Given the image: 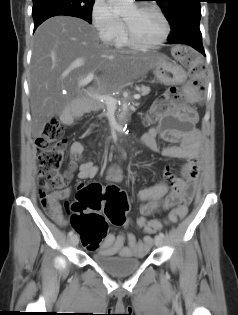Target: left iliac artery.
<instances>
[{"instance_id": "1", "label": "left iliac artery", "mask_w": 238, "mask_h": 315, "mask_svg": "<svg viewBox=\"0 0 238 315\" xmlns=\"http://www.w3.org/2000/svg\"><path fill=\"white\" fill-rule=\"evenodd\" d=\"M159 236H160L161 238H164V234H163L162 232L159 233Z\"/></svg>"}]
</instances>
